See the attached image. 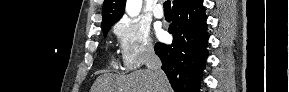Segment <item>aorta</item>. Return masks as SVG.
<instances>
[{
	"instance_id": "1",
	"label": "aorta",
	"mask_w": 289,
	"mask_h": 92,
	"mask_svg": "<svg viewBox=\"0 0 289 92\" xmlns=\"http://www.w3.org/2000/svg\"><path fill=\"white\" fill-rule=\"evenodd\" d=\"M142 7V1L141 0H128L126 3V12L128 15L134 17L137 16L140 12Z\"/></svg>"
}]
</instances>
